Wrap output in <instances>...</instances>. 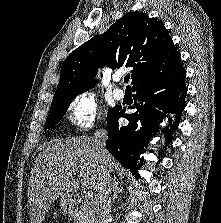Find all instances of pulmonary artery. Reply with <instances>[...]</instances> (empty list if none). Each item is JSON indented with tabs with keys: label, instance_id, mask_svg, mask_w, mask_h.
<instances>
[{
	"label": "pulmonary artery",
	"instance_id": "obj_1",
	"mask_svg": "<svg viewBox=\"0 0 221 223\" xmlns=\"http://www.w3.org/2000/svg\"><path fill=\"white\" fill-rule=\"evenodd\" d=\"M114 81L115 82H121L122 81V77L119 76V75H116L114 77ZM124 94H125L124 90L121 89V88H115L114 91H113V95H114L115 99H118V100L122 99L124 97Z\"/></svg>",
	"mask_w": 221,
	"mask_h": 223
}]
</instances>
